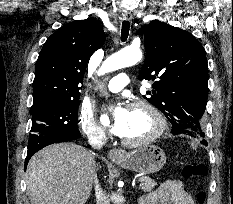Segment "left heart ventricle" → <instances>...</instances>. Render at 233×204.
I'll list each match as a JSON object with an SVG mask.
<instances>
[{"instance_id": "b2bd125f", "label": "left heart ventricle", "mask_w": 233, "mask_h": 204, "mask_svg": "<svg viewBox=\"0 0 233 204\" xmlns=\"http://www.w3.org/2000/svg\"><path fill=\"white\" fill-rule=\"evenodd\" d=\"M155 128V120L146 109H128L127 121L120 136L129 140H138L150 135Z\"/></svg>"}]
</instances>
